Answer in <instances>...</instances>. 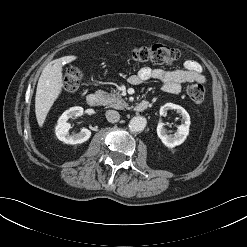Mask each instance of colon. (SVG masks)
Segmentation results:
<instances>
[{
	"instance_id": "obj_1",
	"label": "colon",
	"mask_w": 247,
	"mask_h": 247,
	"mask_svg": "<svg viewBox=\"0 0 247 247\" xmlns=\"http://www.w3.org/2000/svg\"><path fill=\"white\" fill-rule=\"evenodd\" d=\"M131 57L139 63H153L169 66L178 58V51L168 45L156 43L147 46H138L132 49ZM82 79V72L78 68H70L63 77V88L67 92L78 89ZM187 94L195 105H200L205 97L202 84H192L187 88Z\"/></svg>"
}]
</instances>
